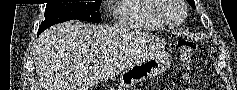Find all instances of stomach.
I'll return each mask as SVG.
<instances>
[{
    "instance_id": "1",
    "label": "stomach",
    "mask_w": 237,
    "mask_h": 90,
    "mask_svg": "<svg viewBox=\"0 0 237 90\" xmlns=\"http://www.w3.org/2000/svg\"><path fill=\"white\" fill-rule=\"evenodd\" d=\"M169 65L170 58L166 54L140 61L121 73L120 87L128 89L137 82L147 81L164 72Z\"/></svg>"
}]
</instances>
